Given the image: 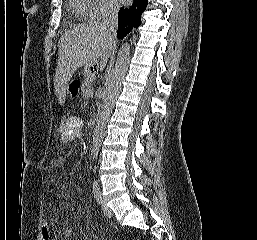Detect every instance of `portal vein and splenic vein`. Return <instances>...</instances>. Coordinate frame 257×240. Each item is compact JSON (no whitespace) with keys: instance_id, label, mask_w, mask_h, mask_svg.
<instances>
[{"instance_id":"18ae733b","label":"portal vein and splenic vein","mask_w":257,"mask_h":240,"mask_svg":"<svg viewBox=\"0 0 257 240\" xmlns=\"http://www.w3.org/2000/svg\"><path fill=\"white\" fill-rule=\"evenodd\" d=\"M93 95V90H89L88 91V96H92Z\"/></svg>"}]
</instances>
